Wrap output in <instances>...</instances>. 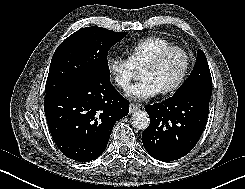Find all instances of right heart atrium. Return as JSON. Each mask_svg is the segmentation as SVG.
I'll return each mask as SVG.
<instances>
[{
	"label": "right heart atrium",
	"instance_id": "d8ad5b80",
	"mask_svg": "<svg viewBox=\"0 0 245 189\" xmlns=\"http://www.w3.org/2000/svg\"><path fill=\"white\" fill-rule=\"evenodd\" d=\"M108 74L113 83L120 89H128L136 70L127 58H109L106 63Z\"/></svg>",
	"mask_w": 245,
	"mask_h": 189
}]
</instances>
